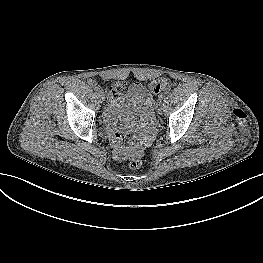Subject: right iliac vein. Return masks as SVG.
Listing matches in <instances>:
<instances>
[{
	"instance_id": "1",
	"label": "right iliac vein",
	"mask_w": 263,
	"mask_h": 263,
	"mask_svg": "<svg viewBox=\"0 0 263 263\" xmlns=\"http://www.w3.org/2000/svg\"><path fill=\"white\" fill-rule=\"evenodd\" d=\"M98 96H99V98H100L102 101H105V100L107 99V96H106V94H105L104 92L98 93Z\"/></svg>"
}]
</instances>
